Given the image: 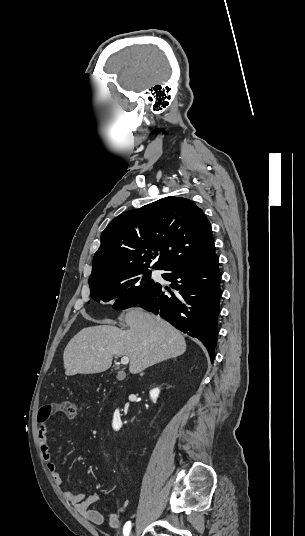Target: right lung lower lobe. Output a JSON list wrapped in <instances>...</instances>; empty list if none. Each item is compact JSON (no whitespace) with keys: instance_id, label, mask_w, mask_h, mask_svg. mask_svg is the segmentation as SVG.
I'll return each instance as SVG.
<instances>
[{"instance_id":"98d812e1","label":"right lung lower lobe","mask_w":305,"mask_h":536,"mask_svg":"<svg viewBox=\"0 0 305 536\" xmlns=\"http://www.w3.org/2000/svg\"><path fill=\"white\" fill-rule=\"evenodd\" d=\"M215 245L164 269L163 278L172 282L175 293L165 295L157 284L140 300L142 308L166 319L177 329L199 339L207 348L211 362L215 356L217 318L221 296V273Z\"/></svg>"}]
</instances>
